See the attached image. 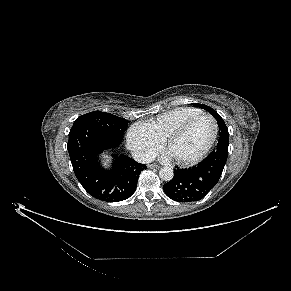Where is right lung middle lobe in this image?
Wrapping results in <instances>:
<instances>
[{
  "label": "right lung middle lobe",
  "mask_w": 291,
  "mask_h": 291,
  "mask_svg": "<svg viewBox=\"0 0 291 291\" xmlns=\"http://www.w3.org/2000/svg\"><path fill=\"white\" fill-rule=\"evenodd\" d=\"M127 125L128 121L124 118L117 117L110 113L94 111L79 116L75 120L72 128L92 126L99 131L122 141L123 133L126 130Z\"/></svg>",
  "instance_id": "1"
}]
</instances>
